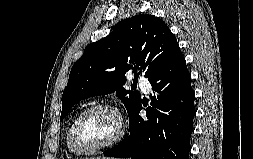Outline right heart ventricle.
Listing matches in <instances>:
<instances>
[{
    "label": "right heart ventricle",
    "mask_w": 253,
    "mask_h": 159,
    "mask_svg": "<svg viewBox=\"0 0 253 159\" xmlns=\"http://www.w3.org/2000/svg\"><path fill=\"white\" fill-rule=\"evenodd\" d=\"M73 121L74 120H72V122L70 123V125L67 129V132H66V144H67L69 149H71V147H70V128H71V125H72Z\"/></svg>",
    "instance_id": "obj_1"
}]
</instances>
